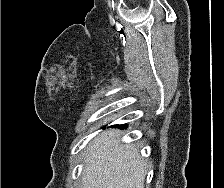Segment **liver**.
<instances>
[{"instance_id":"obj_1","label":"liver","mask_w":224,"mask_h":188,"mask_svg":"<svg viewBox=\"0 0 224 188\" xmlns=\"http://www.w3.org/2000/svg\"><path fill=\"white\" fill-rule=\"evenodd\" d=\"M119 131L101 133L84 152L81 188H144L146 162L134 144L119 143Z\"/></svg>"}]
</instances>
